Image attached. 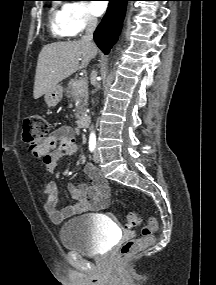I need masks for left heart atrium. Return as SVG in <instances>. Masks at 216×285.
<instances>
[{"label": "left heart atrium", "mask_w": 216, "mask_h": 285, "mask_svg": "<svg viewBox=\"0 0 216 285\" xmlns=\"http://www.w3.org/2000/svg\"><path fill=\"white\" fill-rule=\"evenodd\" d=\"M108 3L107 1H95L92 4L93 12L96 15H101L107 9Z\"/></svg>", "instance_id": "obj_1"}]
</instances>
